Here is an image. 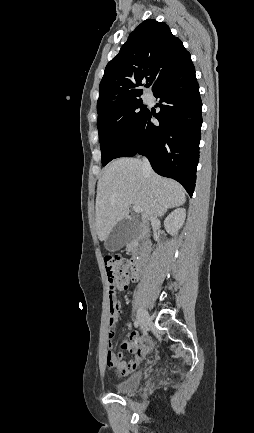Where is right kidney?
Instances as JSON below:
<instances>
[{"label":"right kidney","instance_id":"right-kidney-1","mask_svg":"<svg viewBox=\"0 0 254 433\" xmlns=\"http://www.w3.org/2000/svg\"><path fill=\"white\" fill-rule=\"evenodd\" d=\"M186 218V210L178 208L171 212L164 221L165 229L171 235L177 234V231L183 226Z\"/></svg>","mask_w":254,"mask_h":433}]
</instances>
